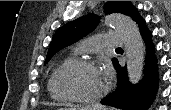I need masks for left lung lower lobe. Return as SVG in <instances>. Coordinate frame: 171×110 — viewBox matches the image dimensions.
I'll list each match as a JSON object with an SVG mask.
<instances>
[{
    "label": "left lung lower lobe",
    "mask_w": 171,
    "mask_h": 110,
    "mask_svg": "<svg viewBox=\"0 0 171 110\" xmlns=\"http://www.w3.org/2000/svg\"><path fill=\"white\" fill-rule=\"evenodd\" d=\"M143 39L146 41L147 54L143 80L132 85L127 79V70L119 64L116 67L118 86L116 90L101 101L102 104L121 108L122 110H147L157 90V65L153 54V44L150 40L151 33L146 28L145 21L141 18L137 23Z\"/></svg>",
    "instance_id": "left-lung-lower-lobe-1"
}]
</instances>
